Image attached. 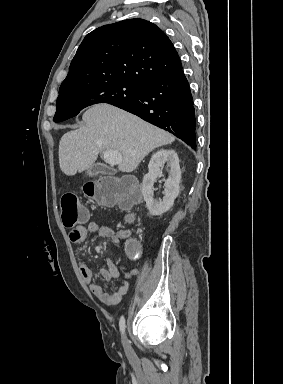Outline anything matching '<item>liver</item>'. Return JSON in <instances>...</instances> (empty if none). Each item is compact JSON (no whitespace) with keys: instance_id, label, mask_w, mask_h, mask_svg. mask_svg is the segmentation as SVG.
<instances>
[{"instance_id":"1","label":"liver","mask_w":283,"mask_h":384,"mask_svg":"<svg viewBox=\"0 0 283 384\" xmlns=\"http://www.w3.org/2000/svg\"><path fill=\"white\" fill-rule=\"evenodd\" d=\"M82 120L84 128L67 132L59 142V166L66 176L88 170L105 150L121 154L120 172H133L155 148L175 140L169 132L109 104L91 106Z\"/></svg>"}]
</instances>
